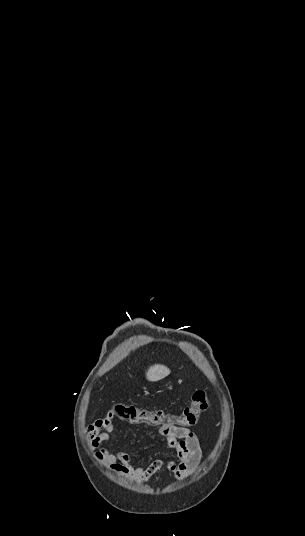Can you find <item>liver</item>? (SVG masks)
I'll list each match as a JSON object with an SVG mask.
<instances>
[{
	"label": "liver",
	"mask_w": 305,
	"mask_h": 536,
	"mask_svg": "<svg viewBox=\"0 0 305 536\" xmlns=\"http://www.w3.org/2000/svg\"><path fill=\"white\" fill-rule=\"evenodd\" d=\"M169 374V368L161 366V364H155V366H150L148 372H146V378L148 382H158V380H163V378H166Z\"/></svg>",
	"instance_id": "liver-1"
}]
</instances>
